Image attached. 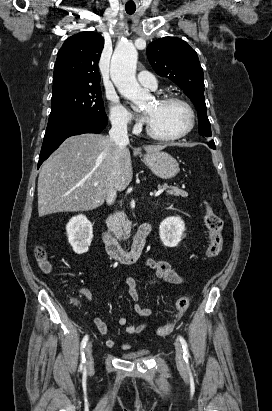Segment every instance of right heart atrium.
<instances>
[{
    "label": "right heart atrium",
    "instance_id": "d8ad5b80",
    "mask_svg": "<svg viewBox=\"0 0 272 411\" xmlns=\"http://www.w3.org/2000/svg\"><path fill=\"white\" fill-rule=\"evenodd\" d=\"M109 119L118 129H127L131 123V114L115 98H109Z\"/></svg>",
    "mask_w": 272,
    "mask_h": 411
}]
</instances>
